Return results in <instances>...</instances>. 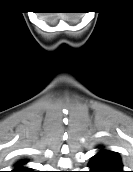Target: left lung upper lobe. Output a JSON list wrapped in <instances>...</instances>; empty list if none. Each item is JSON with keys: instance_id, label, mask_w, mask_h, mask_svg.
Instances as JSON below:
<instances>
[{"instance_id": "5c2ea615", "label": "left lung upper lobe", "mask_w": 133, "mask_h": 172, "mask_svg": "<svg viewBox=\"0 0 133 172\" xmlns=\"http://www.w3.org/2000/svg\"><path fill=\"white\" fill-rule=\"evenodd\" d=\"M90 172H124L118 153L101 150L89 162Z\"/></svg>"}]
</instances>
